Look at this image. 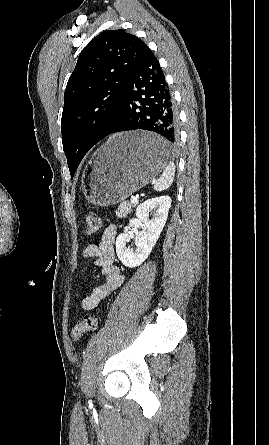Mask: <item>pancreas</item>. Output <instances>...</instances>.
Returning a JSON list of instances; mask_svg holds the SVG:
<instances>
[{
    "mask_svg": "<svg viewBox=\"0 0 269 445\" xmlns=\"http://www.w3.org/2000/svg\"><path fill=\"white\" fill-rule=\"evenodd\" d=\"M133 207H135V205L132 203L122 202L116 211V216L118 218H125L131 212Z\"/></svg>",
    "mask_w": 269,
    "mask_h": 445,
    "instance_id": "pancreas-1",
    "label": "pancreas"
}]
</instances>
